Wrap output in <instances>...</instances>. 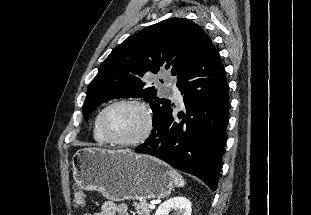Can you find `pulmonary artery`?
<instances>
[{
    "instance_id": "pulmonary-artery-1",
    "label": "pulmonary artery",
    "mask_w": 311,
    "mask_h": 215,
    "mask_svg": "<svg viewBox=\"0 0 311 215\" xmlns=\"http://www.w3.org/2000/svg\"><path fill=\"white\" fill-rule=\"evenodd\" d=\"M167 86L171 92L172 97L177 99V100H180L181 99V93H180L179 88L176 85V82L170 80V81H168Z\"/></svg>"
}]
</instances>
